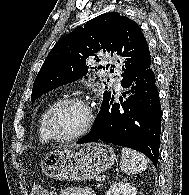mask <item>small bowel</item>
<instances>
[{"mask_svg":"<svg viewBox=\"0 0 189 195\" xmlns=\"http://www.w3.org/2000/svg\"><path fill=\"white\" fill-rule=\"evenodd\" d=\"M61 195H95L90 187H68L61 192Z\"/></svg>","mask_w":189,"mask_h":195,"instance_id":"1","label":"small bowel"}]
</instances>
